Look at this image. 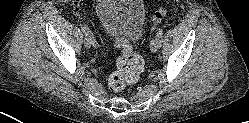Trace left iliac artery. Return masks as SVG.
<instances>
[{"label": "left iliac artery", "instance_id": "1", "mask_svg": "<svg viewBox=\"0 0 249 123\" xmlns=\"http://www.w3.org/2000/svg\"><path fill=\"white\" fill-rule=\"evenodd\" d=\"M156 37L160 40L159 44H161L162 37H163V30H162L161 28H159V29L157 30Z\"/></svg>", "mask_w": 249, "mask_h": 123}]
</instances>
